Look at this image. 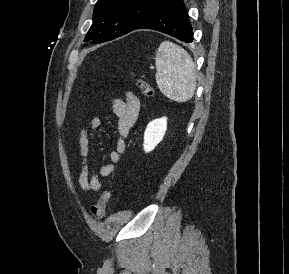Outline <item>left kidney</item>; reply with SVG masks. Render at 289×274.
Wrapping results in <instances>:
<instances>
[{
  "label": "left kidney",
  "mask_w": 289,
  "mask_h": 274,
  "mask_svg": "<svg viewBox=\"0 0 289 274\" xmlns=\"http://www.w3.org/2000/svg\"><path fill=\"white\" fill-rule=\"evenodd\" d=\"M166 130L167 118L164 117L150 122L144 132V151L151 152L163 139Z\"/></svg>",
  "instance_id": "5707ae66"
}]
</instances>
